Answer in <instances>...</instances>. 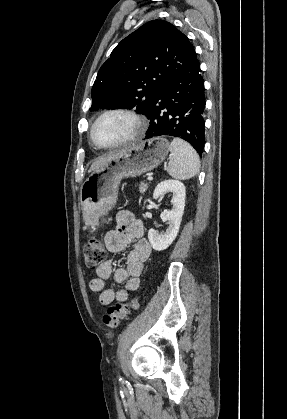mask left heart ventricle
<instances>
[{"label": "left heart ventricle", "instance_id": "b2bd125f", "mask_svg": "<svg viewBox=\"0 0 287 419\" xmlns=\"http://www.w3.org/2000/svg\"><path fill=\"white\" fill-rule=\"evenodd\" d=\"M134 131L133 122L126 116L113 114L104 117L96 125L95 138L102 144H114L129 137Z\"/></svg>", "mask_w": 287, "mask_h": 419}]
</instances>
